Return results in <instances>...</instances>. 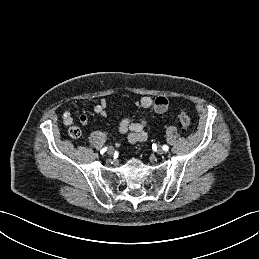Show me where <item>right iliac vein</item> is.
Wrapping results in <instances>:
<instances>
[{"instance_id": "1", "label": "right iliac vein", "mask_w": 259, "mask_h": 259, "mask_svg": "<svg viewBox=\"0 0 259 259\" xmlns=\"http://www.w3.org/2000/svg\"><path fill=\"white\" fill-rule=\"evenodd\" d=\"M113 152H114V149H113L112 147H109V148L107 149V154H108V155H112Z\"/></svg>"}]
</instances>
